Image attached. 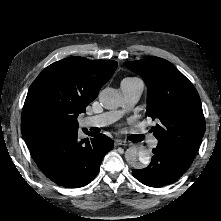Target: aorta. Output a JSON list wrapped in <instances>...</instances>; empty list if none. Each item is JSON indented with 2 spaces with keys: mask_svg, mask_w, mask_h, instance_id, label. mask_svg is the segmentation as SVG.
Segmentation results:
<instances>
[{
  "mask_svg": "<svg viewBox=\"0 0 221 221\" xmlns=\"http://www.w3.org/2000/svg\"><path fill=\"white\" fill-rule=\"evenodd\" d=\"M99 101L105 109H115L122 102L121 93L114 88H105L99 93ZM127 163L134 168H141L150 163L151 155L144 146H131L125 152Z\"/></svg>",
  "mask_w": 221,
  "mask_h": 221,
  "instance_id": "obj_1",
  "label": "aorta"
}]
</instances>
